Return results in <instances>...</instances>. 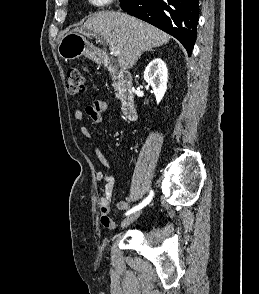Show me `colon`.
I'll use <instances>...</instances> for the list:
<instances>
[{"instance_id": "obj_1", "label": "colon", "mask_w": 259, "mask_h": 294, "mask_svg": "<svg viewBox=\"0 0 259 294\" xmlns=\"http://www.w3.org/2000/svg\"><path fill=\"white\" fill-rule=\"evenodd\" d=\"M66 87L70 95H79L85 90V80L77 68H70L66 74Z\"/></svg>"}]
</instances>
